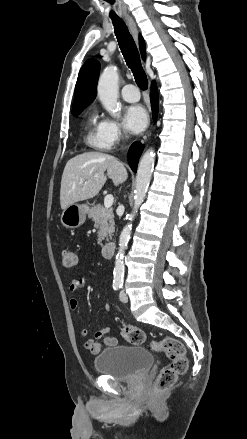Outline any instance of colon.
Here are the masks:
<instances>
[{"label": "colon", "instance_id": "obj_1", "mask_svg": "<svg viewBox=\"0 0 247 439\" xmlns=\"http://www.w3.org/2000/svg\"><path fill=\"white\" fill-rule=\"evenodd\" d=\"M77 262L78 260L75 253L71 251H65L63 253V264L65 267H75ZM122 337L133 345H141L146 341L144 331L133 325H125L123 327ZM151 348L156 352H164L168 359V364L159 373L155 383V390L161 392L171 387L178 377L186 372L188 366L186 350L180 341L173 338L153 341Z\"/></svg>", "mask_w": 247, "mask_h": 439}]
</instances>
